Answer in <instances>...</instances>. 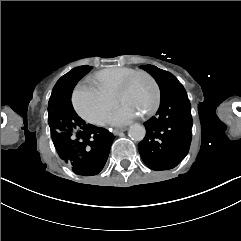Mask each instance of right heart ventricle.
Instances as JSON below:
<instances>
[{
	"label": "right heart ventricle",
	"instance_id": "right-heart-ventricle-1",
	"mask_svg": "<svg viewBox=\"0 0 241 241\" xmlns=\"http://www.w3.org/2000/svg\"><path fill=\"white\" fill-rule=\"evenodd\" d=\"M133 69L127 67L111 66L105 68L94 75L88 76L81 85L89 88L90 84H94L100 88L102 92H112L119 88V83L125 74L131 73ZM105 98H107L104 95Z\"/></svg>",
	"mask_w": 241,
	"mask_h": 241
}]
</instances>
